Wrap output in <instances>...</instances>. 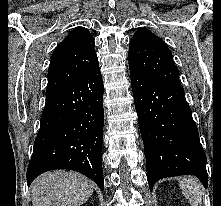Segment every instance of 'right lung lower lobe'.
I'll return each mask as SVG.
<instances>
[{
  "label": "right lung lower lobe",
  "mask_w": 221,
  "mask_h": 206,
  "mask_svg": "<svg viewBox=\"0 0 221 206\" xmlns=\"http://www.w3.org/2000/svg\"><path fill=\"white\" fill-rule=\"evenodd\" d=\"M103 82L99 67L46 93L39 133L27 169L28 186L40 174L70 169L104 190Z\"/></svg>",
  "instance_id": "98d812e1"
}]
</instances>
